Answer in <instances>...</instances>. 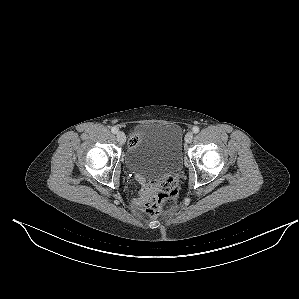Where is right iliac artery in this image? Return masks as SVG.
Here are the masks:
<instances>
[{"instance_id": "right-iliac-artery-1", "label": "right iliac artery", "mask_w": 299, "mask_h": 299, "mask_svg": "<svg viewBox=\"0 0 299 299\" xmlns=\"http://www.w3.org/2000/svg\"><path fill=\"white\" fill-rule=\"evenodd\" d=\"M111 131L112 133L116 134L118 132V129L116 127H112Z\"/></svg>"}]
</instances>
